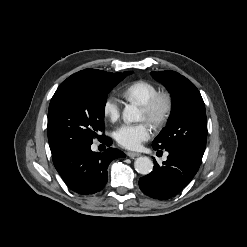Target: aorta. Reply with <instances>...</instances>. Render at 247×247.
I'll return each mask as SVG.
<instances>
[{"mask_svg":"<svg viewBox=\"0 0 247 247\" xmlns=\"http://www.w3.org/2000/svg\"><path fill=\"white\" fill-rule=\"evenodd\" d=\"M123 120L127 122H139L141 121V113L139 109L134 105H126L123 110ZM135 170L142 175L151 173L153 169V162L150 158L138 157L134 162Z\"/></svg>","mask_w":247,"mask_h":247,"instance_id":"aorta-1","label":"aorta"}]
</instances>
